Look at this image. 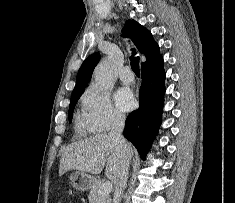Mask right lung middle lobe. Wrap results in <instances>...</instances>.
Here are the masks:
<instances>
[{"mask_svg":"<svg viewBox=\"0 0 235 203\" xmlns=\"http://www.w3.org/2000/svg\"><path fill=\"white\" fill-rule=\"evenodd\" d=\"M83 92H79L76 94H72L71 96V101H70V105H69V122L71 123L72 120V115H73V111H74V107L78 101V99L80 98L81 94Z\"/></svg>","mask_w":235,"mask_h":203,"instance_id":"right-lung-middle-lobe-1","label":"right lung middle lobe"}]
</instances>
